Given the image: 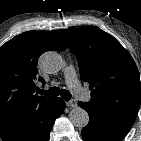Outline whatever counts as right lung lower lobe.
Segmentation results:
<instances>
[{"label": "right lung lower lobe", "mask_w": 141, "mask_h": 141, "mask_svg": "<svg viewBox=\"0 0 141 141\" xmlns=\"http://www.w3.org/2000/svg\"><path fill=\"white\" fill-rule=\"evenodd\" d=\"M65 108L60 98L34 110L22 112L12 117L0 127L3 141H48L52 126Z\"/></svg>", "instance_id": "obj_1"}]
</instances>
